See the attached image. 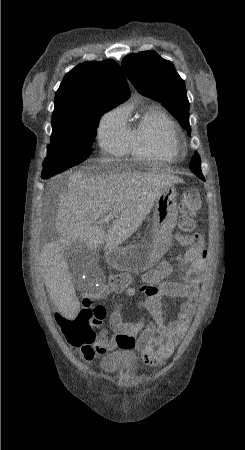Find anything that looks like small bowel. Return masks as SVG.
I'll return each mask as SVG.
<instances>
[{"mask_svg":"<svg viewBox=\"0 0 245 450\" xmlns=\"http://www.w3.org/2000/svg\"><path fill=\"white\" fill-rule=\"evenodd\" d=\"M207 267V252L205 250H187L183 255L178 256L174 264L165 266L162 270L148 274L142 279V284L128 285L120 290H124L130 297L137 294L145 296L142 305L154 313L155 323H126L122 320L121 305L113 310L110 315V326L112 334L108 335L102 330L96 335L94 341L90 343L75 344L69 340L72 351L77 356L86 360H92L95 354H106L116 347H126L120 338L121 334L140 332L136 345L137 350L144 363L153 365L169 358L181 342L197 308V290L201 276ZM178 272H183V278L179 282H172L167 278ZM108 286L101 288L95 294V298H104L110 294ZM73 297L71 289L68 288L65 297L56 305L54 317L58 327L62 331V321L67 317L76 315V310L71 305H67L68 299ZM164 298H180L184 300L181 308L176 312L175 318L165 322L161 313L162 300ZM63 332V331H62ZM64 334V333H63Z\"/></svg>","mask_w":245,"mask_h":450,"instance_id":"obj_1","label":"small bowel"}]
</instances>
